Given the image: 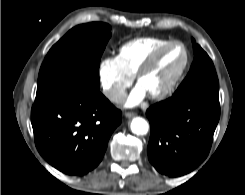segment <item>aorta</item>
Listing matches in <instances>:
<instances>
[{
	"label": "aorta",
	"instance_id": "obj_1",
	"mask_svg": "<svg viewBox=\"0 0 245 195\" xmlns=\"http://www.w3.org/2000/svg\"><path fill=\"white\" fill-rule=\"evenodd\" d=\"M131 131L136 135H145L149 130V124L142 117H135L130 124Z\"/></svg>",
	"mask_w": 245,
	"mask_h": 195
}]
</instances>
